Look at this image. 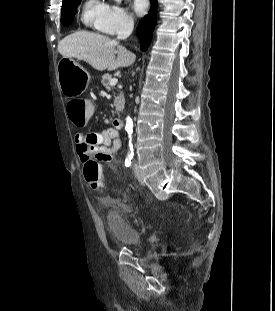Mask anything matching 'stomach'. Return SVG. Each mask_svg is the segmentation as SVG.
Listing matches in <instances>:
<instances>
[{
	"label": "stomach",
	"mask_w": 275,
	"mask_h": 311,
	"mask_svg": "<svg viewBox=\"0 0 275 311\" xmlns=\"http://www.w3.org/2000/svg\"><path fill=\"white\" fill-rule=\"evenodd\" d=\"M58 83L66 97L81 95L88 87L90 75L72 58L63 57L58 65Z\"/></svg>",
	"instance_id": "0dacf381"
}]
</instances>
